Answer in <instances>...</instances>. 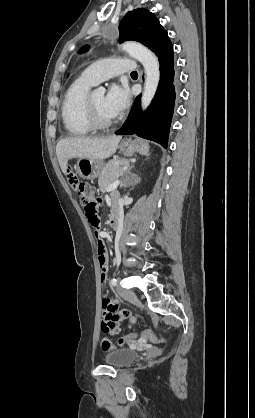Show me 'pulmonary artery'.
Segmentation results:
<instances>
[{
	"mask_svg": "<svg viewBox=\"0 0 255 418\" xmlns=\"http://www.w3.org/2000/svg\"><path fill=\"white\" fill-rule=\"evenodd\" d=\"M137 65L133 60L126 58H111L97 61L87 67L82 76L92 82L94 85L113 76L131 72Z\"/></svg>",
	"mask_w": 255,
	"mask_h": 418,
	"instance_id": "obj_1",
	"label": "pulmonary artery"
}]
</instances>
